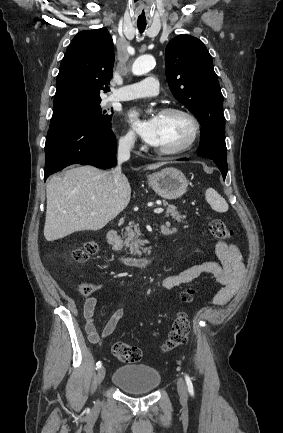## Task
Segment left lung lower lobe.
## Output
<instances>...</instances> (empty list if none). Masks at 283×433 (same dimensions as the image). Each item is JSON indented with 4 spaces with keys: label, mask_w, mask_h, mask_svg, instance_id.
I'll return each mask as SVG.
<instances>
[{
    "label": "left lung lower lobe",
    "mask_w": 283,
    "mask_h": 433,
    "mask_svg": "<svg viewBox=\"0 0 283 433\" xmlns=\"http://www.w3.org/2000/svg\"><path fill=\"white\" fill-rule=\"evenodd\" d=\"M214 132L203 131L200 136V146L198 156L206 157L215 162L222 173L223 179L227 175V149L225 144V136L219 133L215 128H211ZM187 161V158L179 159Z\"/></svg>",
    "instance_id": "1"
}]
</instances>
